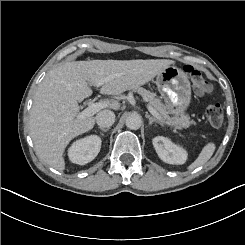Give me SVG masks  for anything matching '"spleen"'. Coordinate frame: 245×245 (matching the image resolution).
<instances>
[{
  "label": "spleen",
  "instance_id": "3e777b00",
  "mask_svg": "<svg viewBox=\"0 0 245 245\" xmlns=\"http://www.w3.org/2000/svg\"><path fill=\"white\" fill-rule=\"evenodd\" d=\"M215 151V144L208 143L199 154L198 158L188 167L189 170H193L197 167L204 165L213 155Z\"/></svg>",
  "mask_w": 245,
  "mask_h": 245
}]
</instances>
